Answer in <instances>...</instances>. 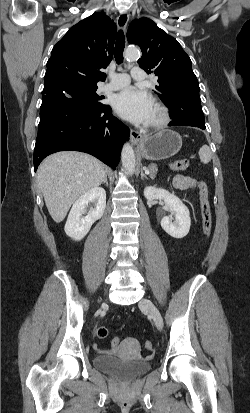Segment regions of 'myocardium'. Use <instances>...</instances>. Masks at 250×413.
I'll use <instances>...</instances> for the list:
<instances>
[{
	"instance_id": "f54148a6",
	"label": "myocardium",
	"mask_w": 250,
	"mask_h": 413,
	"mask_svg": "<svg viewBox=\"0 0 250 413\" xmlns=\"http://www.w3.org/2000/svg\"><path fill=\"white\" fill-rule=\"evenodd\" d=\"M153 106L157 112V119L148 123V128L153 130H160L168 125L170 122V110L163 102L155 100Z\"/></svg>"
}]
</instances>
